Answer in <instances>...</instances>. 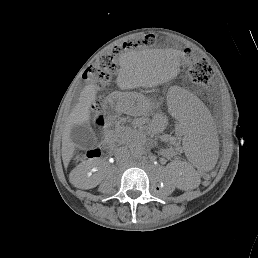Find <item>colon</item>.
I'll use <instances>...</instances> for the list:
<instances>
[{
  "instance_id": "obj_1",
  "label": "colon",
  "mask_w": 258,
  "mask_h": 258,
  "mask_svg": "<svg viewBox=\"0 0 258 258\" xmlns=\"http://www.w3.org/2000/svg\"><path fill=\"white\" fill-rule=\"evenodd\" d=\"M157 43V37L154 34H147L138 39H130L122 45L113 47L109 52L101 55L86 71L84 79L96 85L103 87L111 78L116 70L117 58L123 51L137 50L140 48H149ZM186 60H191L189 52L185 54ZM190 76L194 82L207 85L212 77V68L205 60L195 61L189 69ZM102 104L98 100L94 102L96 112L101 110Z\"/></svg>"
}]
</instances>
